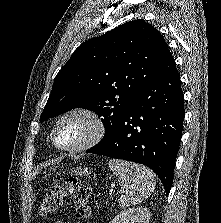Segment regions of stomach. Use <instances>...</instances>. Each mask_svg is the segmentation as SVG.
Here are the masks:
<instances>
[{"instance_id":"stomach-1","label":"stomach","mask_w":221,"mask_h":223,"mask_svg":"<svg viewBox=\"0 0 221 223\" xmlns=\"http://www.w3.org/2000/svg\"><path fill=\"white\" fill-rule=\"evenodd\" d=\"M74 173L76 174V175H84V176H88V175H90L91 174V170H89L88 168H81V167H79V168H77V170H75L74 171Z\"/></svg>"}]
</instances>
